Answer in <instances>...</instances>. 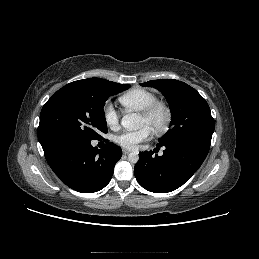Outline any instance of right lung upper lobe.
<instances>
[{"label":"right lung upper lobe","instance_id":"cb5924a9","mask_svg":"<svg viewBox=\"0 0 259 259\" xmlns=\"http://www.w3.org/2000/svg\"><path fill=\"white\" fill-rule=\"evenodd\" d=\"M104 81H105L104 79H100V78H89V79H83V80H78L74 82L92 84V83H101Z\"/></svg>","mask_w":259,"mask_h":259}]
</instances>
